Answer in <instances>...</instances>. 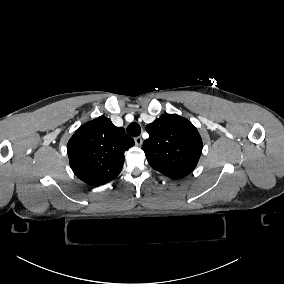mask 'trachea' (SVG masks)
Segmentation results:
<instances>
[{
	"instance_id": "trachea-1",
	"label": "trachea",
	"mask_w": 284,
	"mask_h": 284,
	"mask_svg": "<svg viewBox=\"0 0 284 284\" xmlns=\"http://www.w3.org/2000/svg\"><path fill=\"white\" fill-rule=\"evenodd\" d=\"M127 133L133 137L139 136L141 133V127L139 123L137 122L130 123L127 127Z\"/></svg>"
}]
</instances>
